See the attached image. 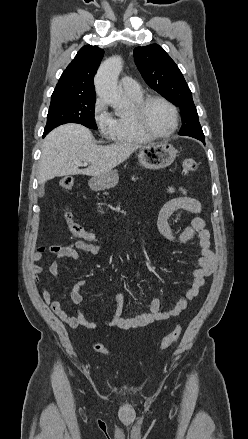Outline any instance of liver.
I'll return each instance as SVG.
<instances>
[{
    "label": "liver",
    "mask_w": 248,
    "mask_h": 439,
    "mask_svg": "<svg viewBox=\"0 0 248 439\" xmlns=\"http://www.w3.org/2000/svg\"><path fill=\"white\" fill-rule=\"evenodd\" d=\"M141 146L120 142L108 146L96 145L91 131L80 124H65L55 128L44 139L39 161V183L68 175L99 176L123 163ZM89 167L81 170L77 163Z\"/></svg>",
    "instance_id": "liver-1"
}]
</instances>
